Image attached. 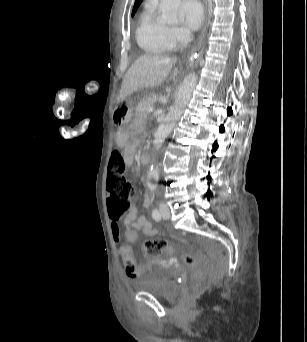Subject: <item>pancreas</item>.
<instances>
[{
  "instance_id": "pancreas-1",
  "label": "pancreas",
  "mask_w": 307,
  "mask_h": 342,
  "mask_svg": "<svg viewBox=\"0 0 307 342\" xmlns=\"http://www.w3.org/2000/svg\"><path fill=\"white\" fill-rule=\"evenodd\" d=\"M154 100L153 98H144L139 102L138 106H136V118L137 119H146L147 118V110L148 108H154Z\"/></svg>"
}]
</instances>
